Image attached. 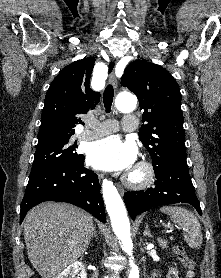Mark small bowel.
I'll use <instances>...</instances> for the list:
<instances>
[{
	"label": "small bowel",
	"instance_id": "c3829d8e",
	"mask_svg": "<svg viewBox=\"0 0 221 278\" xmlns=\"http://www.w3.org/2000/svg\"><path fill=\"white\" fill-rule=\"evenodd\" d=\"M168 278H179V272L177 268L173 267L169 270Z\"/></svg>",
	"mask_w": 221,
	"mask_h": 278
}]
</instances>
